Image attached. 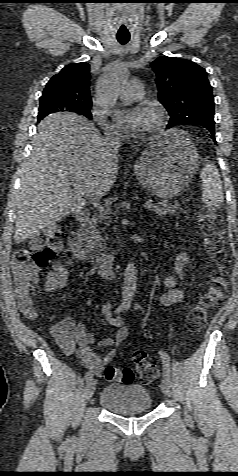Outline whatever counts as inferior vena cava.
<instances>
[{
  "label": "inferior vena cava",
  "mask_w": 238,
  "mask_h": 476,
  "mask_svg": "<svg viewBox=\"0 0 238 476\" xmlns=\"http://www.w3.org/2000/svg\"><path fill=\"white\" fill-rule=\"evenodd\" d=\"M105 135L104 142L107 147V153L109 156L116 157L120 147L121 139L117 134L112 132H107Z\"/></svg>",
  "instance_id": "inferior-vena-cava-1"
}]
</instances>
